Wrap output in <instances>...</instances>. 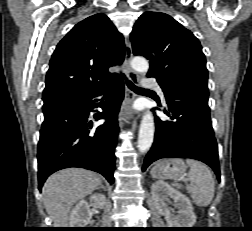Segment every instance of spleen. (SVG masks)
<instances>
[{
    "label": "spleen",
    "mask_w": 252,
    "mask_h": 231,
    "mask_svg": "<svg viewBox=\"0 0 252 231\" xmlns=\"http://www.w3.org/2000/svg\"><path fill=\"white\" fill-rule=\"evenodd\" d=\"M186 163L190 167L188 179L190 185L186 190L197 206H208L215 192V183L211 171L207 166L199 161L187 159ZM173 186L181 189V185L174 183Z\"/></svg>",
    "instance_id": "3e777b00"
}]
</instances>
